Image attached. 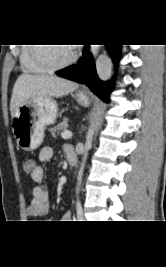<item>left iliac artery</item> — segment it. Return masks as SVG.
I'll list each match as a JSON object with an SVG mask.
<instances>
[{
  "label": "left iliac artery",
  "instance_id": "44dca946",
  "mask_svg": "<svg viewBox=\"0 0 166 267\" xmlns=\"http://www.w3.org/2000/svg\"><path fill=\"white\" fill-rule=\"evenodd\" d=\"M76 211H77V219L79 221H82L83 220V209L80 203H77Z\"/></svg>",
  "mask_w": 166,
  "mask_h": 267
}]
</instances>
